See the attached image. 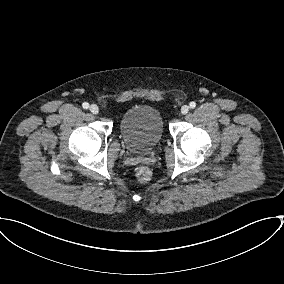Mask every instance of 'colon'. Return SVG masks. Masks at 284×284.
<instances>
[{"label":"colon","mask_w":284,"mask_h":284,"mask_svg":"<svg viewBox=\"0 0 284 284\" xmlns=\"http://www.w3.org/2000/svg\"><path fill=\"white\" fill-rule=\"evenodd\" d=\"M135 175L140 182H147L151 178V171L145 166H140L137 168Z\"/></svg>","instance_id":"5ec220e1"}]
</instances>
